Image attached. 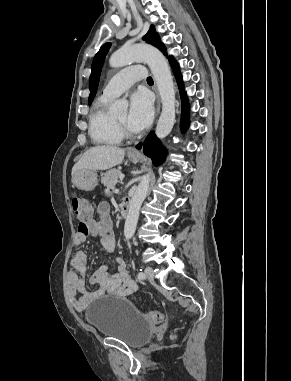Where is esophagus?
<instances>
[{"label":"esophagus","instance_id":"34e87169","mask_svg":"<svg viewBox=\"0 0 291 381\" xmlns=\"http://www.w3.org/2000/svg\"><path fill=\"white\" fill-rule=\"evenodd\" d=\"M154 90H155L156 98H157L156 116H158V114L160 112L161 102H160V96H159V92L157 90L156 85H154ZM129 153L137 154V155L139 154V152L136 149H133V148L129 150Z\"/></svg>","mask_w":291,"mask_h":381}]
</instances>
